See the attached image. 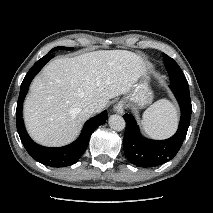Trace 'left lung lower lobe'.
<instances>
[{
  "label": "left lung lower lobe",
  "mask_w": 213,
  "mask_h": 213,
  "mask_svg": "<svg viewBox=\"0 0 213 213\" xmlns=\"http://www.w3.org/2000/svg\"><path fill=\"white\" fill-rule=\"evenodd\" d=\"M180 108L181 119L174 136L166 140H150L142 137L136 120L125 114L126 130L123 139L125 155L130 163L139 167H152L169 161L179 151L190 124L192 106L189 88L170 85Z\"/></svg>",
  "instance_id": "0a47b994"
}]
</instances>
